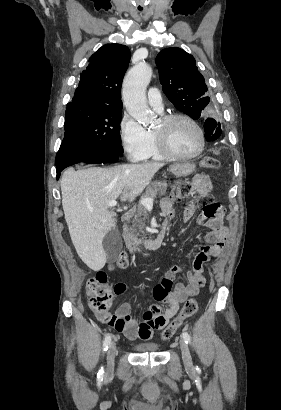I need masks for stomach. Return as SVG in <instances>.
<instances>
[{"mask_svg":"<svg viewBox=\"0 0 281 410\" xmlns=\"http://www.w3.org/2000/svg\"><path fill=\"white\" fill-rule=\"evenodd\" d=\"M195 171V164L190 162L174 164L170 166V172L176 177H185Z\"/></svg>","mask_w":281,"mask_h":410,"instance_id":"obj_1","label":"stomach"}]
</instances>
